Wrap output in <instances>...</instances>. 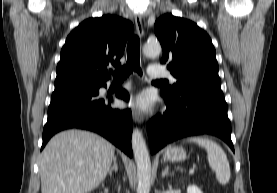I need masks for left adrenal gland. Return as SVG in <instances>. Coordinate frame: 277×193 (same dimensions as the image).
Masks as SVG:
<instances>
[{
  "instance_id": "1",
  "label": "left adrenal gland",
  "mask_w": 277,
  "mask_h": 193,
  "mask_svg": "<svg viewBox=\"0 0 277 193\" xmlns=\"http://www.w3.org/2000/svg\"><path fill=\"white\" fill-rule=\"evenodd\" d=\"M169 174V166L165 167V170L162 172V177L167 176Z\"/></svg>"
}]
</instances>
